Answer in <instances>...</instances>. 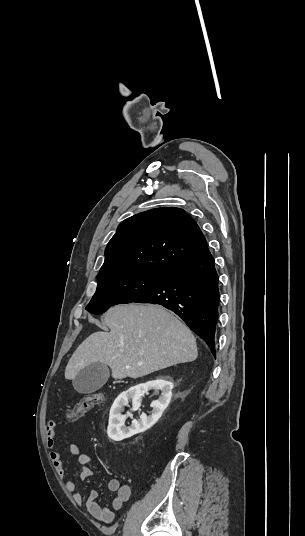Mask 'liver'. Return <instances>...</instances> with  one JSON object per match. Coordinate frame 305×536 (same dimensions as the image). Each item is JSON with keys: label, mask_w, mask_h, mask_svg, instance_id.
Segmentation results:
<instances>
[{"label": "liver", "mask_w": 305, "mask_h": 536, "mask_svg": "<svg viewBox=\"0 0 305 536\" xmlns=\"http://www.w3.org/2000/svg\"><path fill=\"white\" fill-rule=\"evenodd\" d=\"M103 322L110 332H95L78 346L65 368L66 380L94 362L107 364L112 378L123 380L194 362L198 356L189 328L162 306L120 304L104 314Z\"/></svg>", "instance_id": "6515ba94"}]
</instances>
